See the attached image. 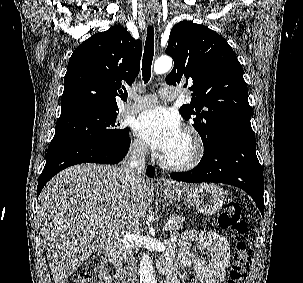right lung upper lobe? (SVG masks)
I'll return each instance as SVG.
<instances>
[{
	"label": "right lung upper lobe",
	"instance_id": "right-lung-upper-lobe-1",
	"mask_svg": "<svg viewBox=\"0 0 303 283\" xmlns=\"http://www.w3.org/2000/svg\"><path fill=\"white\" fill-rule=\"evenodd\" d=\"M141 55L142 42L121 26L85 40L67 66L60 116L86 110L117 111L116 97L127 99L125 85L138 75Z\"/></svg>",
	"mask_w": 303,
	"mask_h": 283
}]
</instances>
